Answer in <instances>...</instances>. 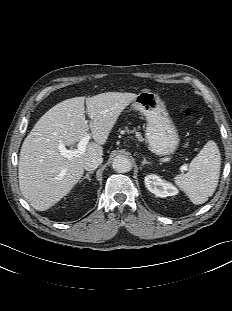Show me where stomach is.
Here are the masks:
<instances>
[{
    "instance_id": "1",
    "label": "stomach",
    "mask_w": 232,
    "mask_h": 311,
    "mask_svg": "<svg viewBox=\"0 0 232 311\" xmlns=\"http://www.w3.org/2000/svg\"><path fill=\"white\" fill-rule=\"evenodd\" d=\"M132 108L147 121L145 137L150 151L158 156L173 154L179 145V135L160 97L143 91L133 100Z\"/></svg>"
}]
</instances>
